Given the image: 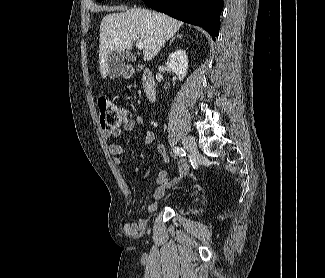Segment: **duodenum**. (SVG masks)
Returning <instances> with one entry per match:
<instances>
[{
	"mask_svg": "<svg viewBox=\"0 0 325 278\" xmlns=\"http://www.w3.org/2000/svg\"><path fill=\"white\" fill-rule=\"evenodd\" d=\"M142 87L145 97L149 101H154L156 99L157 88L154 75L150 70H145L142 78Z\"/></svg>",
	"mask_w": 325,
	"mask_h": 278,
	"instance_id": "obj_1",
	"label": "duodenum"
}]
</instances>
